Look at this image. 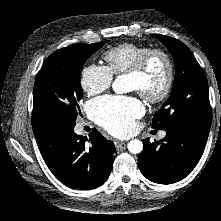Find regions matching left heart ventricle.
<instances>
[{
  "instance_id": "obj_1",
  "label": "left heart ventricle",
  "mask_w": 221,
  "mask_h": 221,
  "mask_svg": "<svg viewBox=\"0 0 221 221\" xmlns=\"http://www.w3.org/2000/svg\"><path fill=\"white\" fill-rule=\"evenodd\" d=\"M165 65L162 59H154L141 76H127L130 90L142 89L147 93L157 92L163 83Z\"/></svg>"
}]
</instances>
